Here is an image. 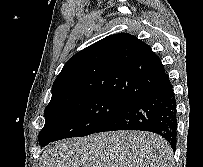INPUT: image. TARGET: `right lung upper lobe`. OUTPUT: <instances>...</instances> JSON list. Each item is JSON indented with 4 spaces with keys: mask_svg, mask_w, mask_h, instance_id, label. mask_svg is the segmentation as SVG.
<instances>
[{
    "mask_svg": "<svg viewBox=\"0 0 203 167\" xmlns=\"http://www.w3.org/2000/svg\"><path fill=\"white\" fill-rule=\"evenodd\" d=\"M167 80L160 58L149 45L127 33L113 34L69 59L53 83L45 109L93 95L131 103Z\"/></svg>",
    "mask_w": 203,
    "mask_h": 167,
    "instance_id": "cb5924a9",
    "label": "right lung upper lobe"
}]
</instances>
